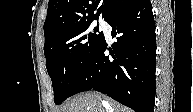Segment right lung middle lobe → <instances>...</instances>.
<instances>
[{
	"instance_id": "1",
	"label": "right lung middle lobe",
	"mask_w": 193,
	"mask_h": 112,
	"mask_svg": "<svg viewBox=\"0 0 193 112\" xmlns=\"http://www.w3.org/2000/svg\"><path fill=\"white\" fill-rule=\"evenodd\" d=\"M103 39V32L87 23L66 28L45 43L46 68L56 105L71 96L74 85Z\"/></svg>"
}]
</instances>
